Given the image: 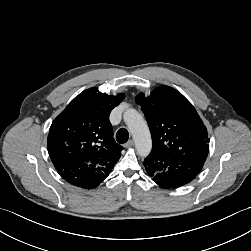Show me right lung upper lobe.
Returning <instances> with one entry per match:
<instances>
[{"instance_id":"cb5924a9","label":"right lung upper lobe","mask_w":251,"mask_h":251,"mask_svg":"<svg viewBox=\"0 0 251 251\" xmlns=\"http://www.w3.org/2000/svg\"><path fill=\"white\" fill-rule=\"evenodd\" d=\"M124 97L123 93L108 96L90 88L55 118L49 130L48 152L51 160L63 156L57 164L62 178L74 179L92 165L98 175L111 172L123 148L113 138L109 114Z\"/></svg>"}]
</instances>
